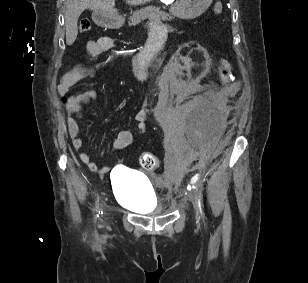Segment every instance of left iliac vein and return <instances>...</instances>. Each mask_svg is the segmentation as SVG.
<instances>
[{
	"label": "left iliac vein",
	"instance_id": "1",
	"mask_svg": "<svg viewBox=\"0 0 308 283\" xmlns=\"http://www.w3.org/2000/svg\"><path fill=\"white\" fill-rule=\"evenodd\" d=\"M188 198H189V200L192 202V204L194 206L196 218L200 219V214H199V211H198V205H197V200H196L195 194L193 192H189L188 193Z\"/></svg>",
	"mask_w": 308,
	"mask_h": 283
}]
</instances>
